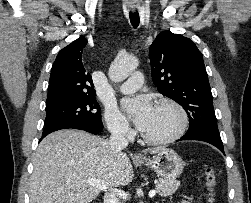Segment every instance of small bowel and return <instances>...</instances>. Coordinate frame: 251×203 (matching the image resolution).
I'll use <instances>...</instances> for the list:
<instances>
[{
	"label": "small bowel",
	"instance_id": "obj_1",
	"mask_svg": "<svg viewBox=\"0 0 251 203\" xmlns=\"http://www.w3.org/2000/svg\"><path fill=\"white\" fill-rule=\"evenodd\" d=\"M180 203H189V202L184 200V201H181Z\"/></svg>",
	"mask_w": 251,
	"mask_h": 203
}]
</instances>
